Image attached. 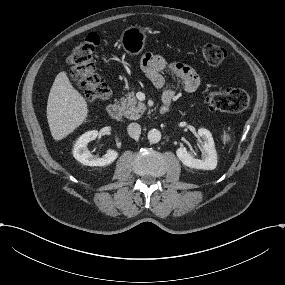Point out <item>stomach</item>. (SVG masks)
<instances>
[{
  "mask_svg": "<svg viewBox=\"0 0 285 285\" xmlns=\"http://www.w3.org/2000/svg\"><path fill=\"white\" fill-rule=\"evenodd\" d=\"M148 31L140 25H129L120 34V45L128 56L136 57L146 46Z\"/></svg>",
  "mask_w": 285,
  "mask_h": 285,
  "instance_id": "1",
  "label": "stomach"
}]
</instances>
